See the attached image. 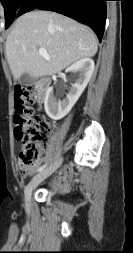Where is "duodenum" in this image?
Returning a JSON list of instances; mask_svg holds the SVG:
<instances>
[{
  "label": "duodenum",
  "mask_w": 133,
  "mask_h": 253,
  "mask_svg": "<svg viewBox=\"0 0 133 253\" xmlns=\"http://www.w3.org/2000/svg\"><path fill=\"white\" fill-rule=\"evenodd\" d=\"M50 87V80L48 78H42L36 83V89L38 93V99L40 103H43Z\"/></svg>",
  "instance_id": "1"
}]
</instances>
